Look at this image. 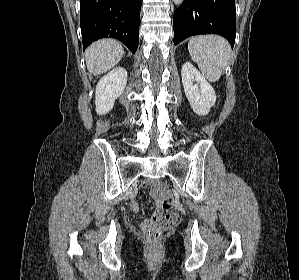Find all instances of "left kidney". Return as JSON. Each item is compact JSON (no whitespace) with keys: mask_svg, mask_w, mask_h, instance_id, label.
I'll list each match as a JSON object with an SVG mask.
<instances>
[{"mask_svg":"<svg viewBox=\"0 0 299 280\" xmlns=\"http://www.w3.org/2000/svg\"><path fill=\"white\" fill-rule=\"evenodd\" d=\"M181 75L184 92L193 111L201 116L207 115L216 102L214 89L190 62L183 64Z\"/></svg>","mask_w":299,"mask_h":280,"instance_id":"1","label":"left kidney"}]
</instances>
